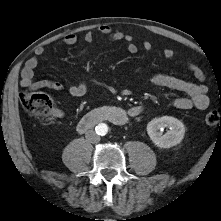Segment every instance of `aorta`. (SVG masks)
<instances>
[{
    "instance_id": "aorta-1",
    "label": "aorta",
    "mask_w": 221,
    "mask_h": 221,
    "mask_svg": "<svg viewBox=\"0 0 221 221\" xmlns=\"http://www.w3.org/2000/svg\"><path fill=\"white\" fill-rule=\"evenodd\" d=\"M95 129H96V133L101 136L106 135L108 132V126L105 123L98 124Z\"/></svg>"
}]
</instances>
